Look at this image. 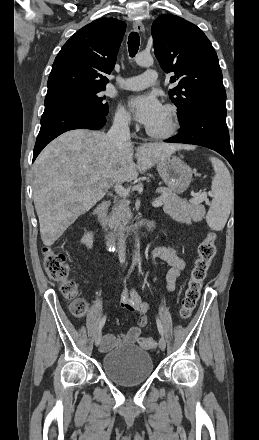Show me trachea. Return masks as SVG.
Wrapping results in <instances>:
<instances>
[{"label": "trachea", "instance_id": "trachea-1", "mask_svg": "<svg viewBox=\"0 0 259 440\" xmlns=\"http://www.w3.org/2000/svg\"><path fill=\"white\" fill-rule=\"evenodd\" d=\"M140 37L137 32H132L128 37V50L131 57H134L139 49Z\"/></svg>", "mask_w": 259, "mask_h": 440}]
</instances>
